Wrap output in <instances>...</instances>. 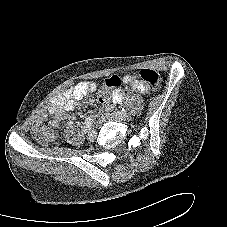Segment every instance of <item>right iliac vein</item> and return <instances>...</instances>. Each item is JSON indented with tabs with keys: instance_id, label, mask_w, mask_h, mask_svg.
Wrapping results in <instances>:
<instances>
[{
	"instance_id": "1",
	"label": "right iliac vein",
	"mask_w": 227,
	"mask_h": 227,
	"mask_svg": "<svg viewBox=\"0 0 227 227\" xmlns=\"http://www.w3.org/2000/svg\"><path fill=\"white\" fill-rule=\"evenodd\" d=\"M96 131L94 129H90L87 134V140L93 142L96 139Z\"/></svg>"
}]
</instances>
